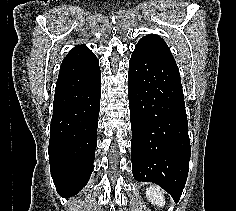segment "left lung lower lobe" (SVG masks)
<instances>
[{
    "instance_id": "obj_1",
    "label": "left lung lower lobe",
    "mask_w": 236,
    "mask_h": 211,
    "mask_svg": "<svg viewBox=\"0 0 236 211\" xmlns=\"http://www.w3.org/2000/svg\"><path fill=\"white\" fill-rule=\"evenodd\" d=\"M132 172L178 202L186 183L190 141L180 73L174 59L135 48L129 62Z\"/></svg>"
}]
</instances>
